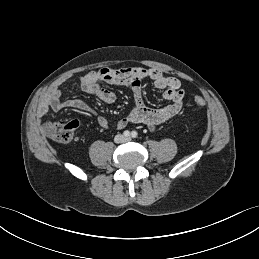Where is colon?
Returning a JSON list of instances; mask_svg holds the SVG:
<instances>
[{
  "mask_svg": "<svg viewBox=\"0 0 259 259\" xmlns=\"http://www.w3.org/2000/svg\"><path fill=\"white\" fill-rule=\"evenodd\" d=\"M194 105L197 108H203L205 106V100L202 97H196L194 99ZM79 125V122L75 120L69 122H51L45 125L44 132L58 142L69 143L74 140Z\"/></svg>",
  "mask_w": 259,
  "mask_h": 259,
  "instance_id": "5ec220e1",
  "label": "colon"
}]
</instances>
